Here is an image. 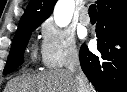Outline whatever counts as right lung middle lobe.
Masks as SVG:
<instances>
[{"label":"right lung middle lobe","instance_id":"1","mask_svg":"<svg viewBox=\"0 0 127 92\" xmlns=\"http://www.w3.org/2000/svg\"><path fill=\"white\" fill-rule=\"evenodd\" d=\"M38 26L39 25L28 27L14 36L3 74L6 75L14 71L19 65L23 63V53L31 36V32Z\"/></svg>","mask_w":127,"mask_h":92}]
</instances>
